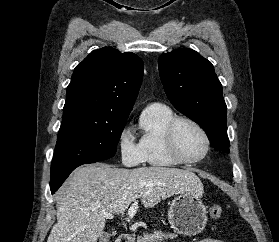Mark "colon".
I'll list each match as a JSON object with an SVG mask.
<instances>
[{
    "mask_svg": "<svg viewBox=\"0 0 279 242\" xmlns=\"http://www.w3.org/2000/svg\"><path fill=\"white\" fill-rule=\"evenodd\" d=\"M209 214H210V217L213 219V220H220L222 218V215H223V208L220 204H213L210 206V209H209Z\"/></svg>",
    "mask_w": 279,
    "mask_h": 242,
    "instance_id": "obj_1",
    "label": "colon"
}]
</instances>
